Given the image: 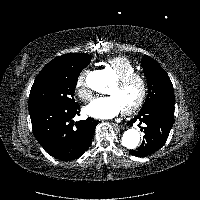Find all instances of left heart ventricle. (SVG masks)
Segmentation results:
<instances>
[{"mask_svg": "<svg viewBox=\"0 0 200 200\" xmlns=\"http://www.w3.org/2000/svg\"><path fill=\"white\" fill-rule=\"evenodd\" d=\"M141 86L138 81H133L124 87H118L116 83L108 91L109 95L116 96L123 109L132 106L139 98Z\"/></svg>", "mask_w": 200, "mask_h": 200, "instance_id": "obj_1", "label": "left heart ventricle"}]
</instances>
